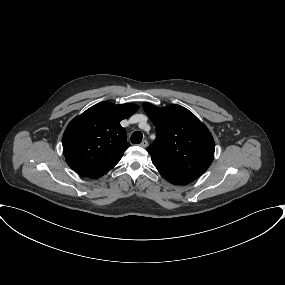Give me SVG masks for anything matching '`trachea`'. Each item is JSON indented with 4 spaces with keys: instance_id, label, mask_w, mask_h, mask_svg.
<instances>
[{
    "instance_id": "3493384b",
    "label": "trachea",
    "mask_w": 285,
    "mask_h": 285,
    "mask_svg": "<svg viewBox=\"0 0 285 285\" xmlns=\"http://www.w3.org/2000/svg\"><path fill=\"white\" fill-rule=\"evenodd\" d=\"M143 138V135L140 131H135L133 132V134L131 135V143L133 144H139L141 143Z\"/></svg>"
}]
</instances>
